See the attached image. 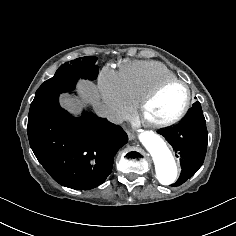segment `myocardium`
<instances>
[{"label": "myocardium", "mask_w": 236, "mask_h": 236, "mask_svg": "<svg viewBox=\"0 0 236 236\" xmlns=\"http://www.w3.org/2000/svg\"><path fill=\"white\" fill-rule=\"evenodd\" d=\"M179 84L186 90V101L182 110L172 119L165 122H153L144 117L147 107L155 100V98L168 86ZM192 106V90L190 86L181 79L171 78L165 79L155 85L149 92H147L138 103V113L141 117V122L144 126L155 131H162L169 129L179 124L189 113Z\"/></svg>", "instance_id": "f54148a6"}]
</instances>
